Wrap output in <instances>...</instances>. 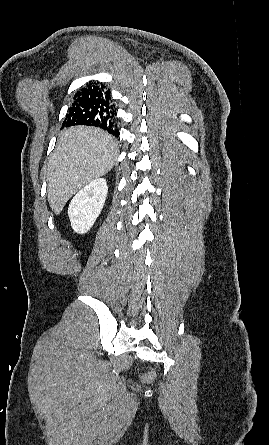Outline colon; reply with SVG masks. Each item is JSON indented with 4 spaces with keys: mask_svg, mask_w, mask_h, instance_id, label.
I'll list each match as a JSON object with an SVG mask.
<instances>
[{
    "mask_svg": "<svg viewBox=\"0 0 269 445\" xmlns=\"http://www.w3.org/2000/svg\"><path fill=\"white\" fill-rule=\"evenodd\" d=\"M152 378V374H147L146 375V379H151Z\"/></svg>",
    "mask_w": 269,
    "mask_h": 445,
    "instance_id": "1",
    "label": "colon"
}]
</instances>
